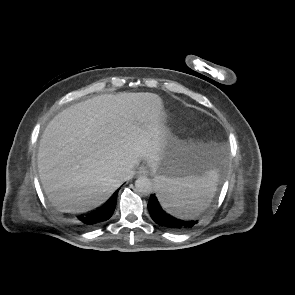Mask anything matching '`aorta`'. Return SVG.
Instances as JSON below:
<instances>
[{
	"instance_id": "obj_1",
	"label": "aorta",
	"mask_w": 295,
	"mask_h": 295,
	"mask_svg": "<svg viewBox=\"0 0 295 295\" xmlns=\"http://www.w3.org/2000/svg\"><path fill=\"white\" fill-rule=\"evenodd\" d=\"M135 188L138 192L144 195H149L153 192V184L149 178L146 176H140L135 181Z\"/></svg>"
}]
</instances>
